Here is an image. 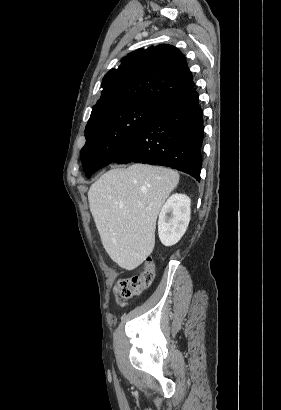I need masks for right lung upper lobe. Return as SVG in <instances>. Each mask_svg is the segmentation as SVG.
I'll list each match as a JSON object with an SVG mask.
<instances>
[{
  "instance_id": "cb5924a9",
  "label": "right lung upper lobe",
  "mask_w": 281,
  "mask_h": 410,
  "mask_svg": "<svg viewBox=\"0 0 281 410\" xmlns=\"http://www.w3.org/2000/svg\"><path fill=\"white\" fill-rule=\"evenodd\" d=\"M121 62L104 76L101 98L91 115L120 105L141 103L160 108L195 90L185 56L171 45L138 49Z\"/></svg>"
}]
</instances>
